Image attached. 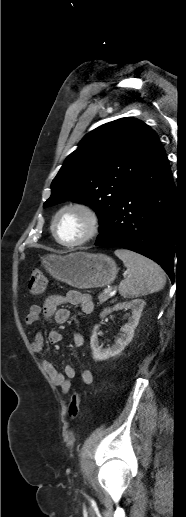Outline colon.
I'll return each instance as SVG.
<instances>
[{
    "mask_svg": "<svg viewBox=\"0 0 186 517\" xmlns=\"http://www.w3.org/2000/svg\"><path fill=\"white\" fill-rule=\"evenodd\" d=\"M46 276L40 269H34L29 278L28 288L31 294L41 295L46 288ZM81 402V395L78 391H74L71 395L69 403V415L71 418H76L79 413Z\"/></svg>",
    "mask_w": 186,
    "mask_h": 517,
    "instance_id": "obj_1",
    "label": "colon"
}]
</instances>
